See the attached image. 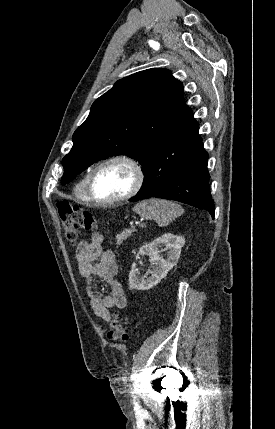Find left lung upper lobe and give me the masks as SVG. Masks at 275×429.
Wrapping results in <instances>:
<instances>
[{
  "mask_svg": "<svg viewBox=\"0 0 275 429\" xmlns=\"http://www.w3.org/2000/svg\"><path fill=\"white\" fill-rule=\"evenodd\" d=\"M188 111L182 83L166 69H147L117 81L74 132L73 147L62 161L61 184L115 154L136 159L144 172Z\"/></svg>",
  "mask_w": 275,
  "mask_h": 429,
  "instance_id": "obj_1",
  "label": "left lung upper lobe"
}]
</instances>
